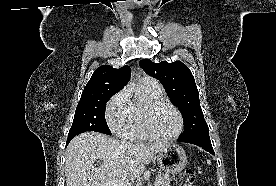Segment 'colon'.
Returning a JSON list of instances; mask_svg holds the SVG:
<instances>
[{
    "mask_svg": "<svg viewBox=\"0 0 276 186\" xmlns=\"http://www.w3.org/2000/svg\"><path fill=\"white\" fill-rule=\"evenodd\" d=\"M196 181V177L193 171L186 170L173 179V186H193Z\"/></svg>",
    "mask_w": 276,
    "mask_h": 186,
    "instance_id": "1",
    "label": "colon"
}]
</instances>
